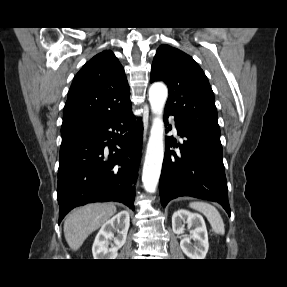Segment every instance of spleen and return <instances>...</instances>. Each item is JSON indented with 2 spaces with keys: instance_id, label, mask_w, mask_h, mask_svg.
I'll list each match as a JSON object with an SVG mask.
<instances>
[{
  "instance_id": "1",
  "label": "spleen",
  "mask_w": 287,
  "mask_h": 287,
  "mask_svg": "<svg viewBox=\"0 0 287 287\" xmlns=\"http://www.w3.org/2000/svg\"><path fill=\"white\" fill-rule=\"evenodd\" d=\"M190 207L206 216L216 234L225 233L223 219L218 210L207 202H191Z\"/></svg>"
}]
</instances>
